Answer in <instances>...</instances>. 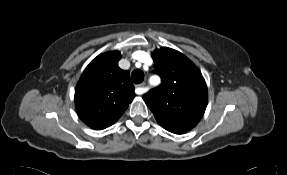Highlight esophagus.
<instances>
[{"mask_svg": "<svg viewBox=\"0 0 287 175\" xmlns=\"http://www.w3.org/2000/svg\"><path fill=\"white\" fill-rule=\"evenodd\" d=\"M136 87H137V93L139 95H142L144 93L145 83L138 84Z\"/></svg>", "mask_w": 287, "mask_h": 175, "instance_id": "esophagus-1", "label": "esophagus"}]
</instances>
